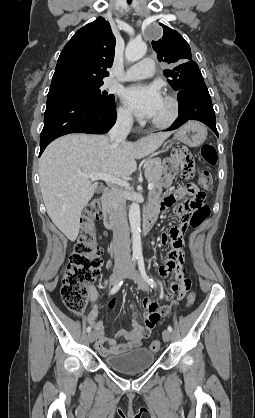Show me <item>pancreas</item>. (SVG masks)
I'll return each instance as SVG.
<instances>
[{
  "mask_svg": "<svg viewBox=\"0 0 255 418\" xmlns=\"http://www.w3.org/2000/svg\"><path fill=\"white\" fill-rule=\"evenodd\" d=\"M145 177L148 182L153 183L154 188H158V182L162 175V162L161 159L156 157L149 159L144 164Z\"/></svg>",
  "mask_w": 255,
  "mask_h": 418,
  "instance_id": "1",
  "label": "pancreas"
}]
</instances>
